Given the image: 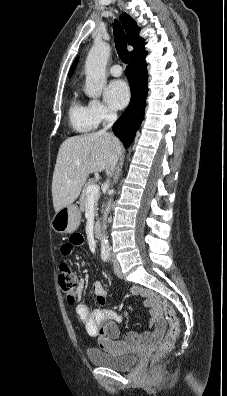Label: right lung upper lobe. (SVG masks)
Listing matches in <instances>:
<instances>
[{"label":"right lung upper lobe","instance_id":"obj_1","mask_svg":"<svg viewBox=\"0 0 227 396\" xmlns=\"http://www.w3.org/2000/svg\"><path fill=\"white\" fill-rule=\"evenodd\" d=\"M120 20L124 26V29L127 34V41L129 45L134 47V50L130 52V56L137 52L139 49L143 48L145 43L144 40L139 37V32L140 28L137 26L136 22L127 14L123 13L120 16ZM78 62V58L74 61L73 65L71 66V69L69 71V76L72 75L76 65Z\"/></svg>","mask_w":227,"mask_h":396}]
</instances>
